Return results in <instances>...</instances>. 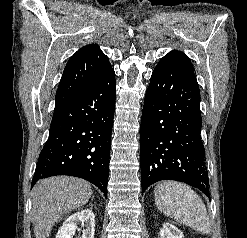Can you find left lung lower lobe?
Here are the masks:
<instances>
[{
    "instance_id": "0a47b994",
    "label": "left lung lower lobe",
    "mask_w": 247,
    "mask_h": 238,
    "mask_svg": "<svg viewBox=\"0 0 247 238\" xmlns=\"http://www.w3.org/2000/svg\"><path fill=\"white\" fill-rule=\"evenodd\" d=\"M201 126L200 91L194 72L162 58L152 73L142 111V191L161 180H176L210 196Z\"/></svg>"
}]
</instances>
